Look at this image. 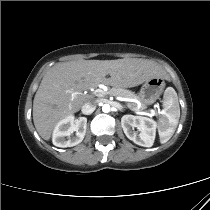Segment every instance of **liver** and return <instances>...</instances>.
Segmentation results:
<instances>
[{
    "label": "liver",
    "instance_id": "6515ba94",
    "mask_svg": "<svg viewBox=\"0 0 210 210\" xmlns=\"http://www.w3.org/2000/svg\"><path fill=\"white\" fill-rule=\"evenodd\" d=\"M163 71L155 63L138 58L84 60L59 63L43 77L33 101V121L44 140L51 138L59 121L78 112L90 95L83 91L99 84L135 87ZM110 75L109 78H106Z\"/></svg>",
    "mask_w": 210,
    "mask_h": 210
}]
</instances>
